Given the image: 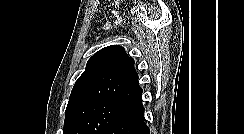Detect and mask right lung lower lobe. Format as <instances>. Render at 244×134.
<instances>
[{"instance_id": "1", "label": "right lung lower lobe", "mask_w": 244, "mask_h": 134, "mask_svg": "<svg viewBox=\"0 0 244 134\" xmlns=\"http://www.w3.org/2000/svg\"><path fill=\"white\" fill-rule=\"evenodd\" d=\"M104 134H150L144 122V107L141 98L133 101Z\"/></svg>"}]
</instances>
